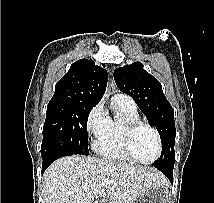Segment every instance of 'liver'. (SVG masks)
<instances>
[{
  "mask_svg": "<svg viewBox=\"0 0 214 203\" xmlns=\"http://www.w3.org/2000/svg\"><path fill=\"white\" fill-rule=\"evenodd\" d=\"M112 181L106 190L102 181ZM152 168L91 156H66L53 162L43 177L45 203H93L95 197L134 203L147 189L164 184Z\"/></svg>",
  "mask_w": 214,
  "mask_h": 203,
  "instance_id": "liver-1",
  "label": "liver"
}]
</instances>
